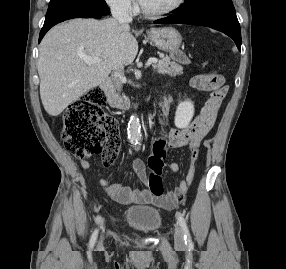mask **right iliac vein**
I'll use <instances>...</instances> for the list:
<instances>
[{
    "label": "right iliac vein",
    "instance_id": "right-iliac-vein-1",
    "mask_svg": "<svg viewBox=\"0 0 286 269\" xmlns=\"http://www.w3.org/2000/svg\"><path fill=\"white\" fill-rule=\"evenodd\" d=\"M101 245H102V241L100 242L99 246H101Z\"/></svg>",
    "mask_w": 286,
    "mask_h": 269
}]
</instances>
